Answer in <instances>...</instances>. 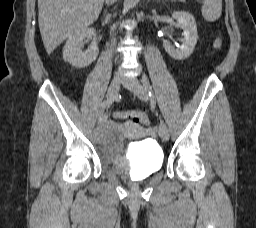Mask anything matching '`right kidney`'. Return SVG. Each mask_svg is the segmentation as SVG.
I'll use <instances>...</instances> for the list:
<instances>
[{"label": "right kidney", "instance_id": "right-kidney-1", "mask_svg": "<svg viewBox=\"0 0 256 228\" xmlns=\"http://www.w3.org/2000/svg\"><path fill=\"white\" fill-rule=\"evenodd\" d=\"M85 38H91L93 43L85 51H82ZM99 49L96 44V30L85 28L71 35L63 48V58L72 66L84 68L90 65L98 56Z\"/></svg>", "mask_w": 256, "mask_h": 228}]
</instances>
